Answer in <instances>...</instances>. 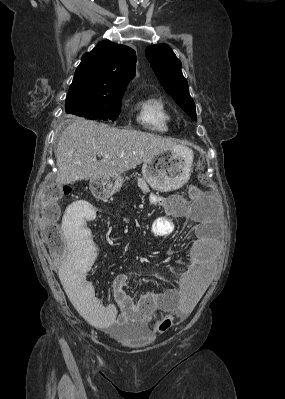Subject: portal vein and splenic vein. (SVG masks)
I'll return each instance as SVG.
<instances>
[{"label": "portal vein and splenic vein", "instance_id": "portal-vein-and-splenic-vein-1", "mask_svg": "<svg viewBox=\"0 0 285 399\" xmlns=\"http://www.w3.org/2000/svg\"><path fill=\"white\" fill-rule=\"evenodd\" d=\"M109 156L108 155H105V158H108Z\"/></svg>", "mask_w": 285, "mask_h": 399}]
</instances>
